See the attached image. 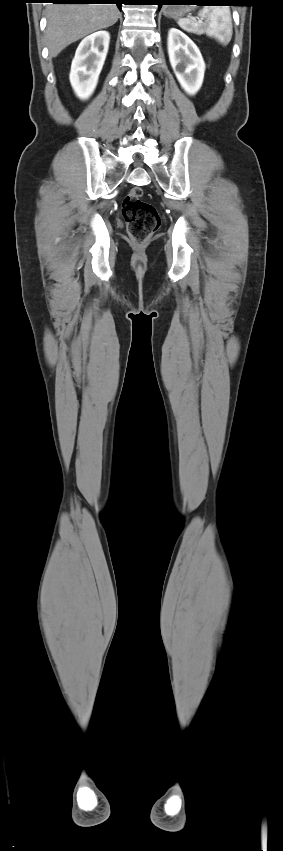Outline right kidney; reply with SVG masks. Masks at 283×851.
Returning a JSON list of instances; mask_svg holds the SVG:
<instances>
[{
	"label": "right kidney",
	"mask_w": 283,
	"mask_h": 851,
	"mask_svg": "<svg viewBox=\"0 0 283 851\" xmlns=\"http://www.w3.org/2000/svg\"><path fill=\"white\" fill-rule=\"evenodd\" d=\"M110 35L97 31L79 44L70 71V83L76 95L88 99L94 92L108 52Z\"/></svg>",
	"instance_id": "obj_1"
}]
</instances>
